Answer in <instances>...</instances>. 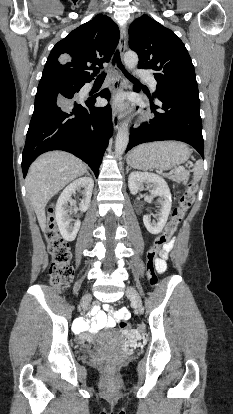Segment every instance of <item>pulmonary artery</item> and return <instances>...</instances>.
Instances as JSON below:
<instances>
[{
	"mask_svg": "<svg viewBox=\"0 0 233 414\" xmlns=\"http://www.w3.org/2000/svg\"><path fill=\"white\" fill-rule=\"evenodd\" d=\"M138 76L145 79L149 84L150 87L155 90L156 86H157V82L155 80V78L151 75V73H149L148 71L145 70H140L137 72Z\"/></svg>",
	"mask_w": 233,
	"mask_h": 414,
	"instance_id": "1",
	"label": "pulmonary artery"
}]
</instances>
